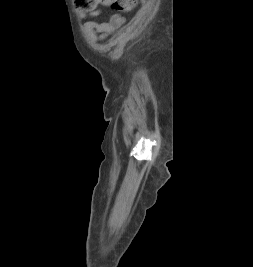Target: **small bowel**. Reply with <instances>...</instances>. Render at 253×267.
I'll return each instance as SVG.
<instances>
[{"instance_id": "c3829d8e", "label": "small bowel", "mask_w": 253, "mask_h": 267, "mask_svg": "<svg viewBox=\"0 0 253 267\" xmlns=\"http://www.w3.org/2000/svg\"><path fill=\"white\" fill-rule=\"evenodd\" d=\"M124 23V18L114 14L107 21H89L84 25L85 32L92 42L104 41Z\"/></svg>"}]
</instances>
